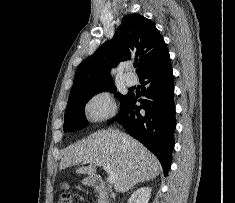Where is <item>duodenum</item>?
Segmentation results:
<instances>
[{
    "label": "duodenum",
    "instance_id": "duodenum-1",
    "mask_svg": "<svg viewBox=\"0 0 235 203\" xmlns=\"http://www.w3.org/2000/svg\"><path fill=\"white\" fill-rule=\"evenodd\" d=\"M91 183L97 190L102 192L106 191V184L101 177L93 176L91 178Z\"/></svg>",
    "mask_w": 235,
    "mask_h": 203
}]
</instances>
